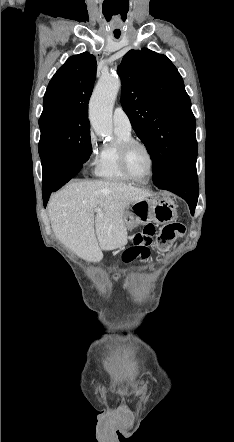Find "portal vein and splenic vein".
<instances>
[{"mask_svg": "<svg viewBox=\"0 0 234 442\" xmlns=\"http://www.w3.org/2000/svg\"><path fill=\"white\" fill-rule=\"evenodd\" d=\"M95 212H100V209H95Z\"/></svg>", "mask_w": 234, "mask_h": 442, "instance_id": "1", "label": "portal vein and splenic vein"}]
</instances>
